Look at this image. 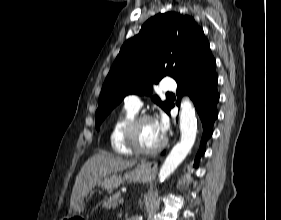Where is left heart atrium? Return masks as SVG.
Segmentation results:
<instances>
[{"label": "left heart atrium", "mask_w": 281, "mask_h": 220, "mask_svg": "<svg viewBox=\"0 0 281 220\" xmlns=\"http://www.w3.org/2000/svg\"><path fill=\"white\" fill-rule=\"evenodd\" d=\"M157 129L160 133V135L162 136V138H164V136L166 135V132L168 130V120L165 116H161L158 120L155 121Z\"/></svg>", "instance_id": "obj_1"}]
</instances>
